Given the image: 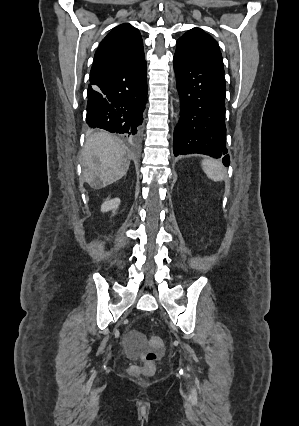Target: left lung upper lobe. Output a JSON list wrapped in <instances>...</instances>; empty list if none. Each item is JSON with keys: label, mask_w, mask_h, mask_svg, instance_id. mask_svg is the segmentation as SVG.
<instances>
[{"label": "left lung upper lobe", "mask_w": 299, "mask_h": 426, "mask_svg": "<svg viewBox=\"0 0 299 426\" xmlns=\"http://www.w3.org/2000/svg\"><path fill=\"white\" fill-rule=\"evenodd\" d=\"M177 49L189 58L202 61L224 79L222 55L217 41L200 28L187 31L177 40ZM225 80V79H224Z\"/></svg>", "instance_id": "1"}]
</instances>
